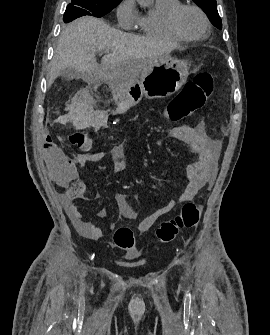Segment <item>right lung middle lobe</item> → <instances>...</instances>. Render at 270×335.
Returning a JSON list of instances; mask_svg holds the SVG:
<instances>
[{"label": "right lung middle lobe", "mask_w": 270, "mask_h": 335, "mask_svg": "<svg viewBox=\"0 0 270 335\" xmlns=\"http://www.w3.org/2000/svg\"><path fill=\"white\" fill-rule=\"evenodd\" d=\"M120 1L113 0H71L67 5L63 20L71 22L82 16L102 17L115 8Z\"/></svg>", "instance_id": "1"}]
</instances>
